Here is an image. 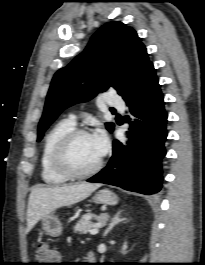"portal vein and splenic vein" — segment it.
<instances>
[{
    "label": "portal vein and splenic vein",
    "mask_w": 205,
    "mask_h": 265,
    "mask_svg": "<svg viewBox=\"0 0 205 265\" xmlns=\"http://www.w3.org/2000/svg\"><path fill=\"white\" fill-rule=\"evenodd\" d=\"M89 232L91 235H96L99 232V226H96L95 228L91 229Z\"/></svg>",
    "instance_id": "1"
}]
</instances>
